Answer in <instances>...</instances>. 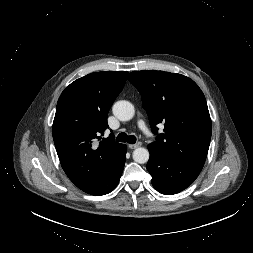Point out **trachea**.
Here are the masks:
<instances>
[{
    "label": "trachea",
    "mask_w": 253,
    "mask_h": 253,
    "mask_svg": "<svg viewBox=\"0 0 253 253\" xmlns=\"http://www.w3.org/2000/svg\"><path fill=\"white\" fill-rule=\"evenodd\" d=\"M116 140L118 142H127L129 144H135L136 143V137L134 135H127L126 133H120Z\"/></svg>",
    "instance_id": "1"
}]
</instances>
